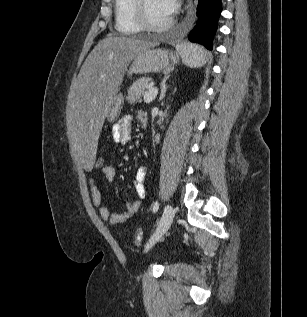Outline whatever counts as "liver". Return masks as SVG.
<instances>
[{
	"label": "liver",
	"instance_id": "6515ba94",
	"mask_svg": "<svg viewBox=\"0 0 307 317\" xmlns=\"http://www.w3.org/2000/svg\"><path fill=\"white\" fill-rule=\"evenodd\" d=\"M158 42L108 35L83 63L67 111V130L84 175L96 170L97 140L130 61Z\"/></svg>",
	"mask_w": 307,
	"mask_h": 317
}]
</instances>
